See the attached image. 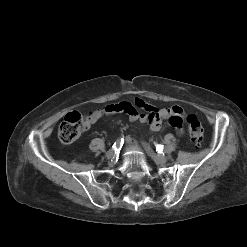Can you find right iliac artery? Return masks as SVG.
Listing matches in <instances>:
<instances>
[{"mask_svg":"<svg viewBox=\"0 0 247 247\" xmlns=\"http://www.w3.org/2000/svg\"><path fill=\"white\" fill-rule=\"evenodd\" d=\"M124 143V139L123 138H119L117 139V141L113 144L112 148L116 151V150H120L121 147L123 146Z\"/></svg>","mask_w":247,"mask_h":247,"instance_id":"82829eb1","label":"right iliac artery"}]
</instances>
